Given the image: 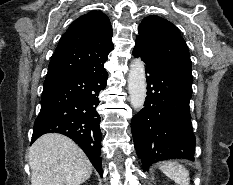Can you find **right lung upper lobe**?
<instances>
[{"label": "right lung upper lobe", "mask_w": 233, "mask_h": 185, "mask_svg": "<svg viewBox=\"0 0 233 185\" xmlns=\"http://www.w3.org/2000/svg\"><path fill=\"white\" fill-rule=\"evenodd\" d=\"M109 18L92 11L75 20L61 37L50 61L46 78L101 68L114 49Z\"/></svg>", "instance_id": "right-lung-upper-lobe-1"}]
</instances>
